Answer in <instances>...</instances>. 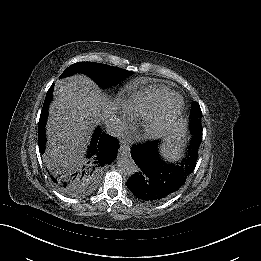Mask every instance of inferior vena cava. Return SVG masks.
<instances>
[{"mask_svg":"<svg viewBox=\"0 0 261 261\" xmlns=\"http://www.w3.org/2000/svg\"><path fill=\"white\" fill-rule=\"evenodd\" d=\"M105 131L107 134L120 138L124 135L125 127L124 123L117 119L116 117H111L109 119H106L105 122Z\"/></svg>","mask_w":261,"mask_h":261,"instance_id":"602c4592","label":"inferior vena cava"}]
</instances>
